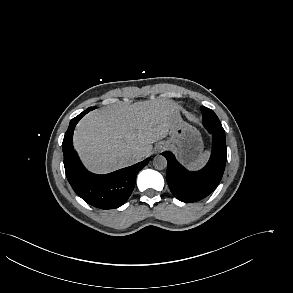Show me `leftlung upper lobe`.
I'll list each match as a JSON object with an SVG mask.
<instances>
[{"label":"left lung upper lobe","instance_id":"5c2ea615","mask_svg":"<svg viewBox=\"0 0 293 293\" xmlns=\"http://www.w3.org/2000/svg\"><path fill=\"white\" fill-rule=\"evenodd\" d=\"M201 112L203 114V122L204 123L209 124V125L216 127V128L222 127L217 115L214 113L213 110L202 106Z\"/></svg>","mask_w":293,"mask_h":293}]
</instances>
